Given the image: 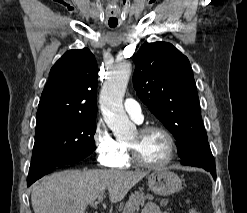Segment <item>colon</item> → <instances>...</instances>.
<instances>
[{"label": "colon", "instance_id": "colon-1", "mask_svg": "<svg viewBox=\"0 0 247 213\" xmlns=\"http://www.w3.org/2000/svg\"><path fill=\"white\" fill-rule=\"evenodd\" d=\"M189 213H198V212H197V210H196V209L191 208V209L189 210Z\"/></svg>", "mask_w": 247, "mask_h": 213}]
</instances>
